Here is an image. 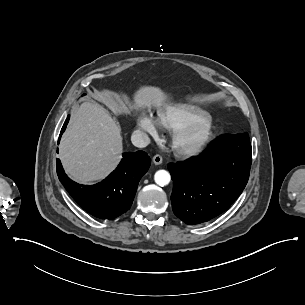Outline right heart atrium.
I'll return each mask as SVG.
<instances>
[{"mask_svg": "<svg viewBox=\"0 0 305 305\" xmlns=\"http://www.w3.org/2000/svg\"><path fill=\"white\" fill-rule=\"evenodd\" d=\"M138 127L147 131L150 134L156 133L157 122L154 118L148 116H142L138 120Z\"/></svg>", "mask_w": 305, "mask_h": 305, "instance_id": "d8ad5b80", "label": "right heart atrium"}]
</instances>
